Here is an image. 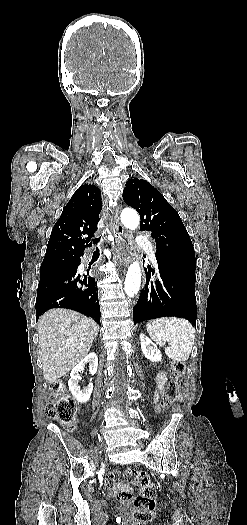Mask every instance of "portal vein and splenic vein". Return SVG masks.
<instances>
[{"mask_svg":"<svg viewBox=\"0 0 247 525\" xmlns=\"http://www.w3.org/2000/svg\"><path fill=\"white\" fill-rule=\"evenodd\" d=\"M170 343H173V340H170Z\"/></svg>","mask_w":247,"mask_h":525,"instance_id":"portal-vein-and-splenic-vein-1","label":"portal vein and splenic vein"}]
</instances>
